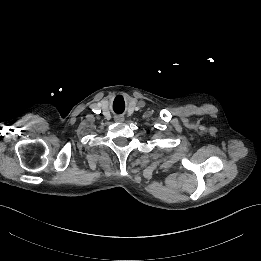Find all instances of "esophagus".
I'll return each mask as SVG.
<instances>
[{"mask_svg":"<svg viewBox=\"0 0 261 261\" xmlns=\"http://www.w3.org/2000/svg\"><path fill=\"white\" fill-rule=\"evenodd\" d=\"M114 120H115L116 122H123V121H124V116H122V115L116 116V117L114 118Z\"/></svg>","mask_w":261,"mask_h":261,"instance_id":"34e87169","label":"esophagus"}]
</instances>
